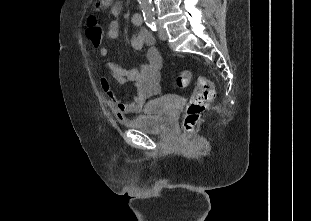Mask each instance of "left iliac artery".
Listing matches in <instances>:
<instances>
[{"mask_svg":"<svg viewBox=\"0 0 311 221\" xmlns=\"http://www.w3.org/2000/svg\"><path fill=\"white\" fill-rule=\"evenodd\" d=\"M146 24L153 30L156 31L157 30V24L155 19H149L146 21Z\"/></svg>","mask_w":311,"mask_h":221,"instance_id":"obj_1","label":"left iliac artery"}]
</instances>
